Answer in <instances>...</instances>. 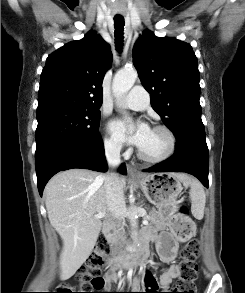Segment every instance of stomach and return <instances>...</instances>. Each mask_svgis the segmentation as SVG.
Instances as JSON below:
<instances>
[{"mask_svg": "<svg viewBox=\"0 0 245 293\" xmlns=\"http://www.w3.org/2000/svg\"><path fill=\"white\" fill-rule=\"evenodd\" d=\"M144 192L145 196L156 208L161 219L172 223L174 219H180L179 197L183 190L182 184L174 173H154L143 174L135 179ZM171 230L174 232V226ZM195 232V227L191 224L190 228L182 233L179 238L187 240Z\"/></svg>", "mask_w": 245, "mask_h": 293, "instance_id": "1", "label": "stomach"}]
</instances>
